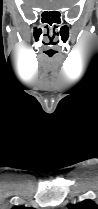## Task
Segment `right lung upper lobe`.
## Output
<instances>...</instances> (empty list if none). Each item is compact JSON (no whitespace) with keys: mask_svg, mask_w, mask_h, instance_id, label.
Instances as JSON below:
<instances>
[{"mask_svg":"<svg viewBox=\"0 0 98 209\" xmlns=\"http://www.w3.org/2000/svg\"><path fill=\"white\" fill-rule=\"evenodd\" d=\"M12 209H33V208H27V207H14Z\"/></svg>","mask_w":98,"mask_h":209,"instance_id":"1","label":"right lung upper lobe"}]
</instances>
